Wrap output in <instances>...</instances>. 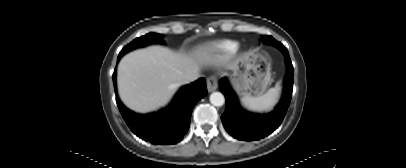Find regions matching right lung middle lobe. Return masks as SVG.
<instances>
[{
  "label": "right lung middle lobe",
  "mask_w": 406,
  "mask_h": 168,
  "mask_svg": "<svg viewBox=\"0 0 406 168\" xmlns=\"http://www.w3.org/2000/svg\"><path fill=\"white\" fill-rule=\"evenodd\" d=\"M163 44L164 41L162 39V35L161 34H157V33H148L145 36H142L140 38H136L135 40H133L130 44H128L127 46H125L121 52L119 53L118 57L124 55L125 53L135 49V48H139V47H144L147 46L149 44Z\"/></svg>",
  "instance_id": "dd1d6c3e"
}]
</instances>
